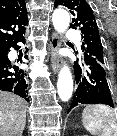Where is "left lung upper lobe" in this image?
Here are the masks:
<instances>
[{"label": "left lung upper lobe", "mask_w": 117, "mask_h": 136, "mask_svg": "<svg viewBox=\"0 0 117 136\" xmlns=\"http://www.w3.org/2000/svg\"><path fill=\"white\" fill-rule=\"evenodd\" d=\"M58 5L66 6L73 14L71 27L74 29L78 27L81 30L84 56L90 55L104 65V52L98 26L88 3L85 0H55L54 6Z\"/></svg>", "instance_id": "1"}]
</instances>
